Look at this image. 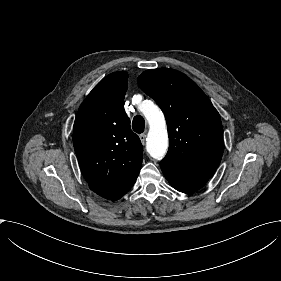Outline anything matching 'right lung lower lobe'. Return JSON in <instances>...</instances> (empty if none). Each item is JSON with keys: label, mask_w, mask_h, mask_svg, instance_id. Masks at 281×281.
<instances>
[{"label": "right lung lower lobe", "mask_w": 281, "mask_h": 281, "mask_svg": "<svg viewBox=\"0 0 281 281\" xmlns=\"http://www.w3.org/2000/svg\"><path fill=\"white\" fill-rule=\"evenodd\" d=\"M140 169L110 198H108V200H117L119 198H121L123 195H125L134 185L137 176L139 174Z\"/></svg>", "instance_id": "right-lung-lower-lobe-1"}]
</instances>
